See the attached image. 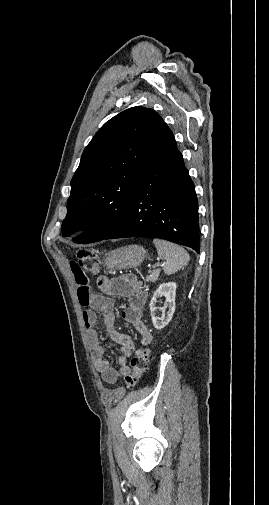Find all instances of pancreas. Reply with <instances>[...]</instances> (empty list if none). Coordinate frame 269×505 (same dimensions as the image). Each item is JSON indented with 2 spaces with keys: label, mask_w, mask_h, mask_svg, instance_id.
I'll return each mask as SVG.
<instances>
[{
  "label": "pancreas",
  "mask_w": 269,
  "mask_h": 505,
  "mask_svg": "<svg viewBox=\"0 0 269 505\" xmlns=\"http://www.w3.org/2000/svg\"><path fill=\"white\" fill-rule=\"evenodd\" d=\"M150 274L146 277V281L156 282L158 280L160 269L153 270L149 272Z\"/></svg>",
  "instance_id": "pancreas-1"
}]
</instances>
